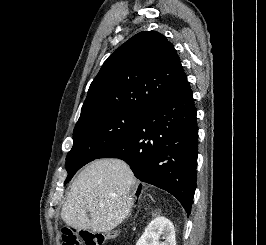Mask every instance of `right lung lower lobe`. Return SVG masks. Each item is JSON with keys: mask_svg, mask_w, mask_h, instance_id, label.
Listing matches in <instances>:
<instances>
[{"mask_svg": "<svg viewBox=\"0 0 266 245\" xmlns=\"http://www.w3.org/2000/svg\"><path fill=\"white\" fill-rule=\"evenodd\" d=\"M196 114L187 81L148 108L132 132L98 158L124 160L136 178L168 191L189 215L196 189Z\"/></svg>", "mask_w": 266, "mask_h": 245, "instance_id": "obj_1", "label": "right lung lower lobe"}]
</instances>
